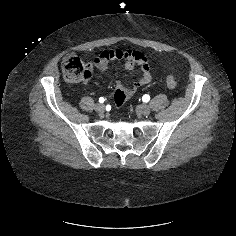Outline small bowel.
<instances>
[{"mask_svg":"<svg viewBox=\"0 0 236 236\" xmlns=\"http://www.w3.org/2000/svg\"><path fill=\"white\" fill-rule=\"evenodd\" d=\"M124 61V68L126 70H132L134 67H138L141 71L140 76L128 87L124 86L122 82L117 81L115 83V90L113 93V99L116 102V93L122 92L125 100L134 95L137 90L146 85L151 79V67L149 60L145 54L134 50H121L112 49L104 50L93 60L88 62L89 69L93 70H103L107 67L110 61Z\"/></svg>","mask_w":236,"mask_h":236,"instance_id":"obj_1","label":"small bowel"}]
</instances>
